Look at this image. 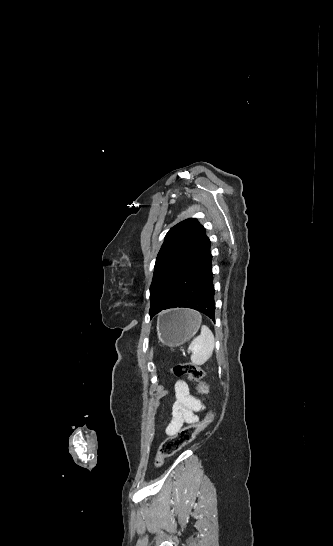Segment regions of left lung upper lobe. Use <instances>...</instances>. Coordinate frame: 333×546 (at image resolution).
I'll list each match as a JSON object with an SVG mask.
<instances>
[{
	"label": "left lung upper lobe",
	"instance_id": "5c2ea615",
	"mask_svg": "<svg viewBox=\"0 0 333 546\" xmlns=\"http://www.w3.org/2000/svg\"><path fill=\"white\" fill-rule=\"evenodd\" d=\"M206 238L204 227L194 218L178 223L166 234L156 258L150 286L151 318L161 311L171 285L198 256Z\"/></svg>",
	"mask_w": 333,
	"mask_h": 546
}]
</instances>
